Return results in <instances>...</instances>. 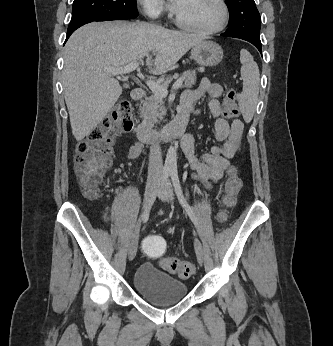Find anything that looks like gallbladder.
Instances as JSON below:
<instances>
[{
	"instance_id": "1",
	"label": "gallbladder",
	"mask_w": 333,
	"mask_h": 346,
	"mask_svg": "<svg viewBox=\"0 0 333 346\" xmlns=\"http://www.w3.org/2000/svg\"><path fill=\"white\" fill-rule=\"evenodd\" d=\"M125 87H126V88H128V87H129V85H128V84H126V85H125Z\"/></svg>"
}]
</instances>
